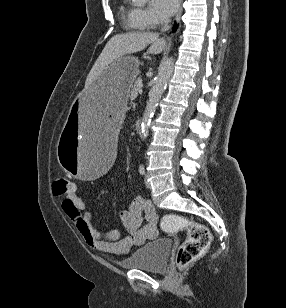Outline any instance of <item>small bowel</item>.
<instances>
[{
  "instance_id": "obj_1",
  "label": "small bowel",
  "mask_w": 286,
  "mask_h": 308,
  "mask_svg": "<svg viewBox=\"0 0 286 308\" xmlns=\"http://www.w3.org/2000/svg\"><path fill=\"white\" fill-rule=\"evenodd\" d=\"M62 208L85 242L106 254H126L158 236V215L153 203L142 196L133 199L128 209L119 213L120 222L127 231L126 236L118 230L100 231L92 223L90 212L82 213L86 210V203L76 193L65 197Z\"/></svg>"
}]
</instances>
